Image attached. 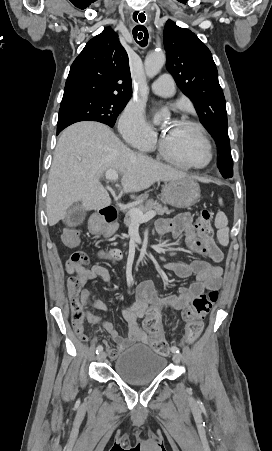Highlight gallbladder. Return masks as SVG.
<instances>
[{"label": "gallbladder", "instance_id": "gallbladder-1", "mask_svg": "<svg viewBox=\"0 0 272 451\" xmlns=\"http://www.w3.org/2000/svg\"><path fill=\"white\" fill-rule=\"evenodd\" d=\"M86 216V210H81V208H77V206H72L70 208V212L65 218L64 222L67 224V226L74 227V226H80L82 224L83 220H85Z\"/></svg>", "mask_w": 272, "mask_h": 451}]
</instances>
